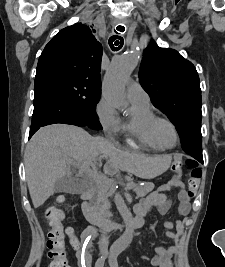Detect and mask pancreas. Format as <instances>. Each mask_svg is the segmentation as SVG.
Listing matches in <instances>:
<instances>
[{"mask_svg": "<svg viewBox=\"0 0 225 267\" xmlns=\"http://www.w3.org/2000/svg\"><path fill=\"white\" fill-rule=\"evenodd\" d=\"M154 184L151 182L145 183L143 186L140 185H136L135 186V192L137 194V197H144L146 196L149 192H151L154 189ZM97 189L101 192V193H105L107 188L105 184H100L98 185Z\"/></svg>", "mask_w": 225, "mask_h": 267, "instance_id": "cf45deb5", "label": "pancreas"}]
</instances>
